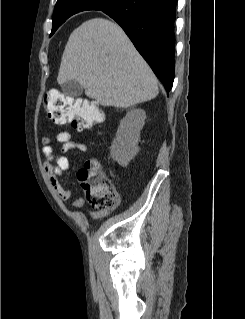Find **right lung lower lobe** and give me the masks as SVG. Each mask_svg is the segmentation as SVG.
I'll list each match as a JSON object with an SVG mask.
<instances>
[{
	"mask_svg": "<svg viewBox=\"0 0 245 319\" xmlns=\"http://www.w3.org/2000/svg\"><path fill=\"white\" fill-rule=\"evenodd\" d=\"M178 0H122L103 11L126 32L167 92L174 81V22Z\"/></svg>",
	"mask_w": 245,
	"mask_h": 319,
	"instance_id": "obj_1",
	"label": "right lung lower lobe"
}]
</instances>
